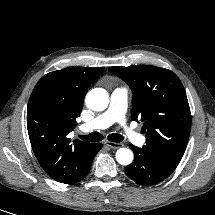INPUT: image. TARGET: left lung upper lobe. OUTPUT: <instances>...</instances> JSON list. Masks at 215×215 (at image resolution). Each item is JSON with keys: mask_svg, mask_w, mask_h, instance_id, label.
<instances>
[{"mask_svg": "<svg viewBox=\"0 0 215 215\" xmlns=\"http://www.w3.org/2000/svg\"><path fill=\"white\" fill-rule=\"evenodd\" d=\"M108 70L133 91L131 118L144 122L145 147L177 166L191 130L190 108L180 79L168 69L151 65L113 66Z\"/></svg>", "mask_w": 215, "mask_h": 215, "instance_id": "1", "label": "left lung upper lobe"}]
</instances>
